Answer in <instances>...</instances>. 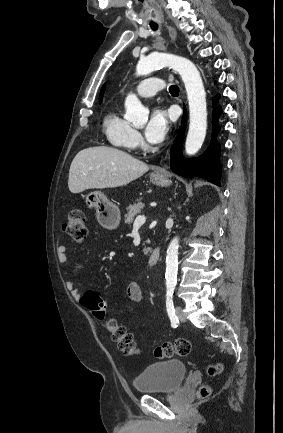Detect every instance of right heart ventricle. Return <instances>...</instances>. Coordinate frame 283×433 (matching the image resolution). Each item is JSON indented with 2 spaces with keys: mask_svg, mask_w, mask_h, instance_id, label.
<instances>
[{
  "mask_svg": "<svg viewBox=\"0 0 283 433\" xmlns=\"http://www.w3.org/2000/svg\"><path fill=\"white\" fill-rule=\"evenodd\" d=\"M102 125L105 135L116 146L126 144L133 132L130 122L123 118L118 110L107 113Z\"/></svg>",
  "mask_w": 283,
  "mask_h": 433,
  "instance_id": "obj_1",
  "label": "right heart ventricle"
}]
</instances>
